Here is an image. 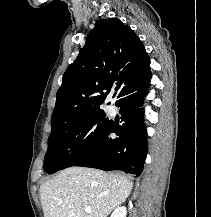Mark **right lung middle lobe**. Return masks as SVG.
Listing matches in <instances>:
<instances>
[{"mask_svg": "<svg viewBox=\"0 0 211 217\" xmlns=\"http://www.w3.org/2000/svg\"><path fill=\"white\" fill-rule=\"evenodd\" d=\"M110 123L100 109L52 128L44 170L52 174L85 158L103 140Z\"/></svg>", "mask_w": 211, "mask_h": 217, "instance_id": "right-lung-middle-lobe-1", "label": "right lung middle lobe"}]
</instances>
